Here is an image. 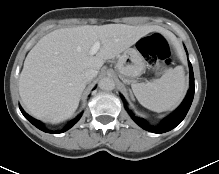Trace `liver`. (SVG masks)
<instances>
[{"instance_id": "liver-1", "label": "liver", "mask_w": 219, "mask_h": 174, "mask_svg": "<svg viewBox=\"0 0 219 174\" xmlns=\"http://www.w3.org/2000/svg\"><path fill=\"white\" fill-rule=\"evenodd\" d=\"M170 32L155 26L106 24L61 28L42 37L28 53L19 78V94L36 118L59 123L76 111L86 82L83 72L98 73L105 60L120 55L152 31ZM101 47L96 55L90 50Z\"/></svg>"}]
</instances>
